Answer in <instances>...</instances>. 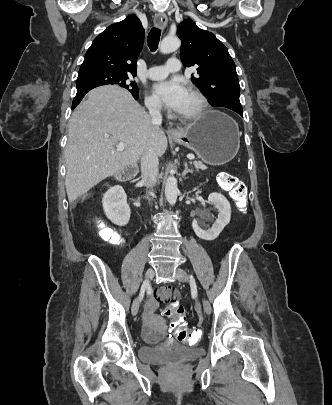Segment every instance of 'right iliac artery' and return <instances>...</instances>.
Returning <instances> with one entry per match:
<instances>
[{"instance_id":"right-iliac-artery-1","label":"right iliac artery","mask_w":332,"mask_h":405,"mask_svg":"<svg viewBox=\"0 0 332 405\" xmlns=\"http://www.w3.org/2000/svg\"><path fill=\"white\" fill-rule=\"evenodd\" d=\"M147 286H148V283L144 282L143 285H142V287H141L140 294H139V296H140V301H141V300L143 299V297H144L145 290H146Z\"/></svg>"}]
</instances>
